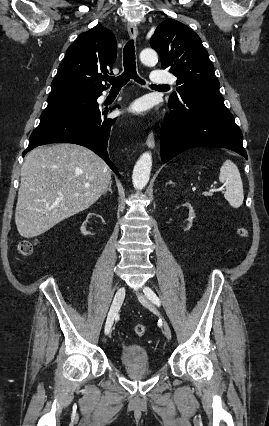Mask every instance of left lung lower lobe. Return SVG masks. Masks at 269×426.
Instances as JSON below:
<instances>
[{
	"label": "left lung lower lobe",
	"mask_w": 269,
	"mask_h": 426,
	"mask_svg": "<svg viewBox=\"0 0 269 426\" xmlns=\"http://www.w3.org/2000/svg\"><path fill=\"white\" fill-rule=\"evenodd\" d=\"M169 108L161 130L164 163L195 147L227 148L248 159L242 132L225 107L219 89L186 93L176 101H169Z\"/></svg>",
	"instance_id": "0a47b994"
}]
</instances>
